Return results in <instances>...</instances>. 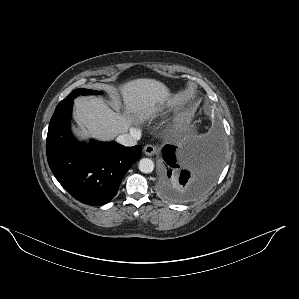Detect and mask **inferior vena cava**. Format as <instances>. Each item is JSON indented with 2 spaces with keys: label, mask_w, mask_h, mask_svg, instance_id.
Masks as SVG:
<instances>
[{
  "label": "inferior vena cava",
  "mask_w": 299,
  "mask_h": 299,
  "mask_svg": "<svg viewBox=\"0 0 299 299\" xmlns=\"http://www.w3.org/2000/svg\"><path fill=\"white\" fill-rule=\"evenodd\" d=\"M140 137L141 132L139 130H136L135 128H131L129 133L119 135L116 140L118 143L130 147L135 146L137 144V140H139Z\"/></svg>",
  "instance_id": "1"
}]
</instances>
